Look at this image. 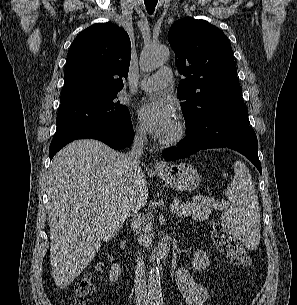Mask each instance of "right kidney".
Returning a JSON list of instances; mask_svg holds the SVG:
<instances>
[{
    "label": "right kidney",
    "mask_w": 297,
    "mask_h": 305,
    "mask_svg": "<svg viewBox=\"0 0 297 305\" xmlns=\"http://www.w3.org/2000/svg\"><path fill=\"white\" fill-rule=\"evenodd\" d=\"M120 275H121V268H120V266L118 264H113L111 266V270L109 272L110 282L117 281Z\"/></svg>",
    "instance_id": "1"
}]
</instances>
